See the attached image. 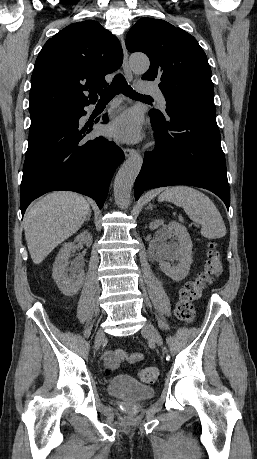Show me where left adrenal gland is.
Masks as SVG:
<instances>
[{
    "instance_id": "1",
    "label": "left adrenal gland",
    "mask_w": 257,
    "mask_h": 459,
    "mask_svg": "<svg viewBox=\"0 0 257 459\" xmlns=\"http://www.w3.org/2000/svg\"><path fill=\"white\" fill-rule=\"evenodd\" d=\"M152 208H153V205L149 203V205L147 206V209H152Z\"/></svg>"
}]
</instances>
